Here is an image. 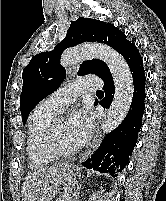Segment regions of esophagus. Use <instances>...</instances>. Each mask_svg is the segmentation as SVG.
<instances>
[{
	"instance_id": "1",
	"label": "esophagus",
	"mask_w": 166,
	"mask_h": 201,
	"mask_svg": "<svg viewBox=\"0 0 166 201\" xmlns=\"http://www.w3.org/2000/svg\"><path fill=\"white\" fill-rule=\"evenodd\" d=\"M102 141V132L100 130V125L97 128L96 134L93 138V141L87 151L82 155L81 161L86 160L89 156H91L99 147Z\"/></svg>"
}]
</instances>
